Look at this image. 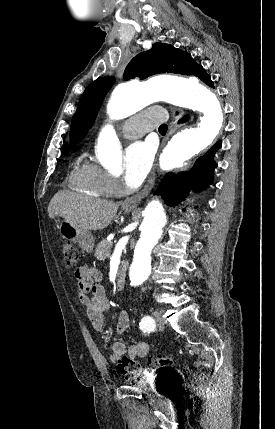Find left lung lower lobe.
<instances>
[{
  "instance_id": "0a47b994",
  "label": "left lung lower lobe",
  "mask_w": 275,
  "mask_h": 429,
  "mask_svg": "<svg viewBox=\"0 0 275 429\" xmlns=\"http://www.w3.org/2000/svg\"><path fill=\"white\" fill-rule=\"evenodd\" d=\"M197 77H199L204 83L213 86L210 76L206 73L204 68H200ZM188 116L182 118L183 121H187ZM181 122V121H179ZM221 148V142H217L204 156L198 158L194 166L186 172H180L175 175L168 173L158 186L157 194L161 195L162 198L168 204H178L190 190L189 187L194 190L200 191L206 188L213 182V171L217 167L213 157L215 152Z\"/></svg>"
}]
</instances>
